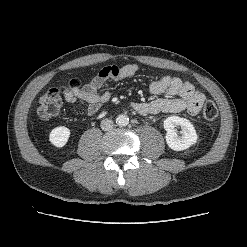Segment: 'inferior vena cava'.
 <instances>
[{
  "mask_svg": "<svg viewBox=\"0 0 247 247\" xmlns=\"http://www.w3.org/2000/svg\"><path fill=\"white\" fill-rule=\"evenodd\" d=\"M113 126H114V124H113V121L111 119L106 118V119H103L101 121V129L104 131H108V130L112 129Z\"/></svg>",
  "mask_w": 247,
  "mask_h": 247,
  "instance_id": "1",
  "label": "inferior vena cava"
}]
</instances>
